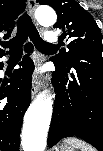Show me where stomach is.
Returning a JSON list of instances; mask_svg holds the SVG:
<instances>
[{"label":"stomach","mask_w":103,"mask_h":151,"mask_svg":"<svg viewBox=\"0 0 103 151\" xmlns=\"http://www.w3.org/2000/svg\"><path fill=\"white\" fill-rule=\"evenodd\" d=\"M73 150L74 147L68 143H64L63 145L56 149V151H73Z\"/></svg>","instance_id":"0dacf381"}]
</instances>
